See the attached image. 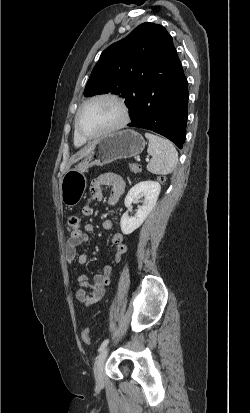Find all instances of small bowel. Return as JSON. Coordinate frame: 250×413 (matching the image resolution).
I'll return each instance as SVG.
<instances>
[{"mask_svg":"<svg viewBox=\"0 0 250 413\" xmlns=\"http://www.w3.org/2000/svg\"><path fill=\"white\" fill-rule=\"evenodd\" d=\"M111 187L109 195V204L114 206L126 191V181L116 174H104L95 178L90 187V195L93 200L100 201L103 199V187ZM83 213L87 216L92 215L93 207L90 202L83 207ZM114 222L111 219H106L103 222V228L107 231L114 229ZM95 228L91 223L84 225L83 231L81 229H74L72 235L66 242L65 258L69 264L77 261L83 265L88 261V256L85 252L78 253L77 248L89 239V235L94 232ZM111 242L115 248L113 259L115 263H120L122 257L127 251V246L124 243L122 233L115 231L112 235ZM112 268L110 265H105L102 272L94 277L93 284L89 283L88 276L84 273H79L76 276L78 289L76 292V299L86 306H92L98 303L105 295L108 286L111 283ZM88 289H91L88 292Z\"/></svg>","mask_w":250,"mask_h":413,"instance_id":"1","label":"small bowel"}]
</instances>
